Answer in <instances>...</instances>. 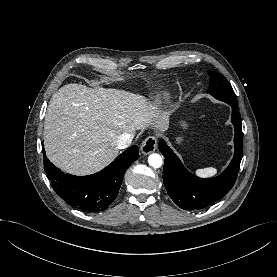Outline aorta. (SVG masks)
<instances>
[{"instance_id": "aorta-1", "label": "aorta", "mask_w": 277, "mask_h": 277, "mask_svg": "<svg viewBox=\"0 0 277 277\" xmlns=\"http://www.w3.org/2000/svg\"><path fill=\"white\" fill-rule=\"evenodd\" d=\"M149 165L154 167V168H159L161 167L163 160L162 157L159 154H151L148 158Z\"/></svg>"}]
</instances>
